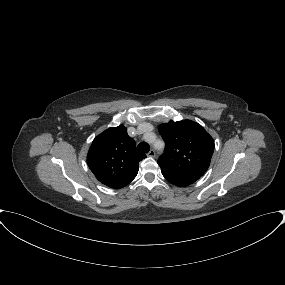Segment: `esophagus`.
<instances>
[{
    "instance_id": "34e87169",
    "label": "esophagus",
    "mask_w": 285,
    "mask_h": 285,
    "mask_svg": "<svg viewBox=\"0 0 285 285\" xmlns=\"http://www.w3.org/2000/svg\"><path fill=\"white\" fill-rule=\"evenodd\" d=\"M155 155H156V153H155V151H154L153 149H151V150L149 151V153H148V156H149V157H155Z\"/></svg>"
}]
</instances>
